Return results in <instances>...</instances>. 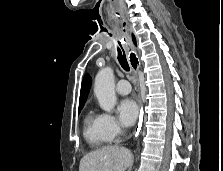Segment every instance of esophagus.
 I'll return each mask as SVG.
<instances>
[{
  "label": "esophagus",
  "instance_id": "obj_1",
  "mask_svg": "<svg viewBox=\"0 0 223 171\" xmlns=\"http://www.w3.org/2000/svg\"><path fill=\"white\" fill-rule=\"evenodd\" d=\"M135 51H130V55L128 57V60H129V63H130V66H131V69L135 75V81H136V84L138 86V70H139V67H140V61L138 59V56L136 55L135 56ZM138 104H139V108H140V117H139V122H138V125H137V129H136V132H135V137H137L140 132H141V127H142V117H141V114H142V99L141 97L139 96V99H138Z\"/></svg>",
  "mask_w": 223,
  "mask_h": 171
}]
</instances>
